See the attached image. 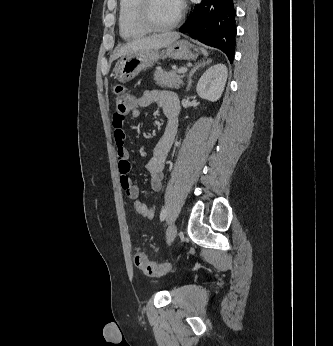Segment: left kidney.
Listing matches in <instances>:
<instances>
[{"instance_id":"5707ae66","label":"left kidney","mask_w":333,"mask_h":346,"mask_svg":"<svg viewBox=\"0 0 333 346\" xmlns=\"http://www.w3.org/2000/svg\"><path fill=\"white\" fill-rule=\"evenodd\" d=\"M227 75L226 65L219 63L211 66L203 73L197 83L198 95L212 102L217 101L223 93Z\"/></svg>"}]
</instances>
